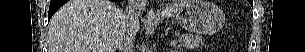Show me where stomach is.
Here are the masks:
<instances>
[{"label": "stomach", "mask_w": 305, "mask_h": 52, "mask_svg": "<svg viewBox=\"0 0 305 52\" xmlns=\"http://www.w3.org/2000/svg\"><path fill=\"white\" fill-rule=\"evenodd\" d=\"M176 20L187 31L197 34H213L225 23L223 11L207 0H190L176 13Z\"/></svg>", "instance_id": "1"}]
</instances>
